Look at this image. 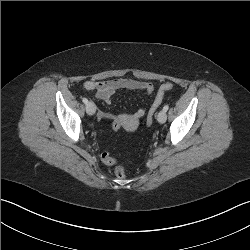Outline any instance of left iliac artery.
I'll list each match as a JSON object with an SVG mask.
<instances>
[{
	"mask_svg": "<svg viewBox=\"0 0 250 250\" xmlns=\"http://www.w3.org/2000/svg\"><path fill=\"white\" fill-rule=\"evenodd\" d=\"M169 109V105H165L164 107H163V110L166 112L167 110Z\"/></svg>",
	"mask_w": 250,
	"mask_h": 250,
	"instance_id": "1",
	"label": "left iliac artery"
}]
</instances>
